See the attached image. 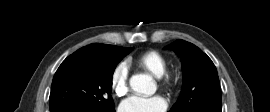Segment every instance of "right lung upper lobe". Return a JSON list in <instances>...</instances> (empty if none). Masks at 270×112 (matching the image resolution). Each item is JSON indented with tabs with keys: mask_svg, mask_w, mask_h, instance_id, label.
I'll use <instances>...</instances> for the list:
<instances>
[{
	"mask_svg": "<svg viewBox=\"0 0 270 112\" xmlns=\"http://www.w3.org/2000/svg\"><path fill=\"white\" fill-rule=\"evenodd\" d=\"M99 44L98 43H94V44H90L86 47H83V48H93V47H97Z\"/></svg>",
	"mask_w": 270,
	"mask_h": 112,
	"instance_id": "cb5924a9",
	"label": "right lung upper lobe"
}]
</instances>
